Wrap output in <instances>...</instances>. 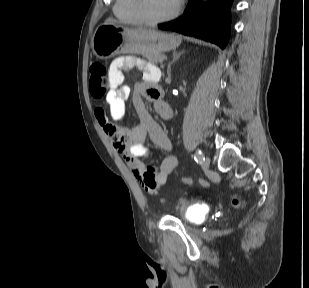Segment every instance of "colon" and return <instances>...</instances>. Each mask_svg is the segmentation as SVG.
Instances as JSON below:
<instances>
[{
  "label": "colon",
  "mask_w": 309,
  "mask_h": 288,
  "mask_svg": "<svg viewBox=\"0 0 309 288\" xmlns=\"http://www.w3.org/2000/svg\"><path fill=\"white\" fill-rule=\"evenodd\" d=\"M89 85L90 92L95 98H102L108 88L107 69L101 63L93 64L89 69ZM182 184L188 186L191 184V180L188 177H184L181 180ZM232 205L235 208H239L242 205V200L239 197L232 199Z\"/></svg>",
  "instance_id": "obj_1"
}]
</instances>
